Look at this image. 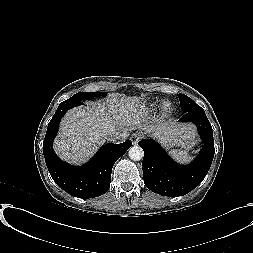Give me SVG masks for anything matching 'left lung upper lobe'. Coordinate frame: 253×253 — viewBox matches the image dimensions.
I'll return each mask as SVG.
<instances>
[{
    "label": "left lung upper lobe",
    "instance_id": "obj_1",
    "mask_svg": "<svg viewBox=\"0 0 253 253\" xmlns=\"http://www.w3.org/2000/svg\"><path fill=\"white\" fill-rule=\"evenodd\" d=\"M179 100H180V106L184 113L190 112V111H197L201 110L202 108L197 105L191 98H189L186 95L178 94Z\"/></svg>",
    "mask_w": 253,
    "mask_h": 253
}]
</instances>
